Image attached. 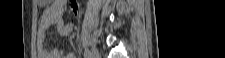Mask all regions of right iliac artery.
<instances>
[{"label":"right iliac artery","mask_w":225,"mask_h":58,"mask_svg":"<svg viewBox=\"0 0 225 58\" xmlns=\"http://www.w3.org/2000/svg\"><path fill=\"white\" fill-rule=\"evenodd\" d=\"M84 58H90L89 57V51L88 50H85V52H84Z\"/></svg>","instance_id":"right-iliac-artery-1"}]
</instances>
